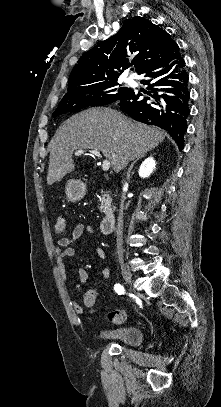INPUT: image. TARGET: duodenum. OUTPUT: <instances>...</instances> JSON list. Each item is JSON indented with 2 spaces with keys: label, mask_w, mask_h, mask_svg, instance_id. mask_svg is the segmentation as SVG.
<instances>
[{
  "label": "duodenum",
  "mask_w": 221,
  "mask_h": 407,
  "mask_svg": "<svg viewBox=\"0 0 221 407\" xmlns=\"http://www.w3.org/2000/svg\"><path fill=\"white\" fill-rule=\"evenodd\" d=\"M116 212L110 210L101 222L100 229L102 234H109L114 226Z\"/></svg>",
  "instance_id": "duodenum-1"
}]
</instances>
